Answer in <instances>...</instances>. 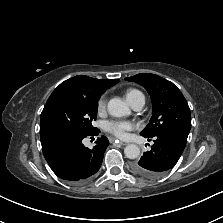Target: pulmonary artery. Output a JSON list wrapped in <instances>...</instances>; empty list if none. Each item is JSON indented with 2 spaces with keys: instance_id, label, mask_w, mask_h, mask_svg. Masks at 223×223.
<instances>
[{
  "instance_id": "e3ab8cb5",
  "label": "pulmonary artery",
  "mask_w": 223,
  "mask_h": 223,
  "mask_svg": "<svg viewBox=\"0 0 223 223\" xmlns=\"http://www.w3.org/2000/svg\"><path fill=\"white\" fill-rule=\"evenodd\" d=\"M145 105L144 95L137 97L131 104L132 108L136 111H140Z\"/></svg>"
}]
</instances>
